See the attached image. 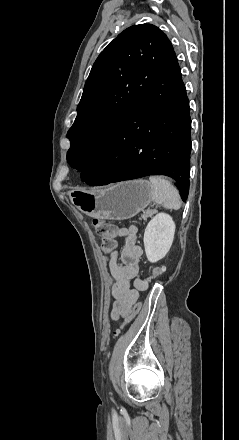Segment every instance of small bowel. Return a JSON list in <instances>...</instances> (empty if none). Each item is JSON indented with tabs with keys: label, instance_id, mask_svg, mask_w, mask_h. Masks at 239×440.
I'll return each instance as SVG.
<instances>
[{
	"label": "small bowel",
	"instance_id": "obj_1",
	"mask_svg": "<svg viewBox=\"0 0 239 440\" xmlns=\"http://www.w3.org/2000/svg\"><path fill=\"white\" fill-rule=\"evenodd\" d=\"M116 237L124 239L125 244L119 254L118 242L115 241L109 252V271L114 280L111 290L114 303L110 315L113 321L129 316L138 299L139 291L148 286V281L138 276L143 250L137 244V227L131 225L117 229Z\"/></svg>",
	"mask_w": 239,
	"mask_h": 440
}]
</instances>
